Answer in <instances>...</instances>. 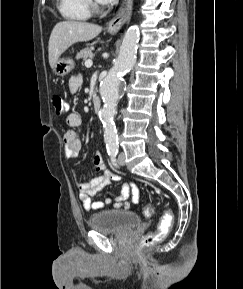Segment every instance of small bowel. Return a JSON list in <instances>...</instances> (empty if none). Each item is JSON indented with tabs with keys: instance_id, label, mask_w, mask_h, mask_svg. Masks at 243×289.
Listing matches in <instances>:
<instances>
[{
	"instance_id": "obj_1",
	"label": "small bowel",
	"mask_w": 243,
	"mask_h": 289,
	"mask_svg": "<svg viewBox=\"0 0 243 289\" xmlns=\"http://www.w3.org/2000/svg\"><path fill=\"white\" fill-rule=\"evenodd\" d=\"M81 84L82 78L79 75L73 76L69 81L70 92H77ZM66 123L69 128L64 132L62 137L64 154L67 159L72 160L79 156L82 147L81 139L76 131V129L82 125V117L76 112H71L67 115ZM93 165L100 175L90 180L77 182L79 198L85 210H98L110 204H113L116 208L123 206L125 209H129L131 203H138L139 189L133 182L124 183L120 194L117 196H109L103 202L92 201V197L108 186L111 182L119 181L121 179L120 175L106 167L103 157L99 152H96L93 157ZM130 195L131 203L127 201Z\"/></svg>"
}]
</instances>
